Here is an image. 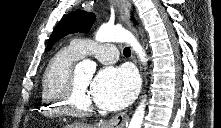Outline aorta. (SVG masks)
Masks as SVG:
<instances>
[{
    "label": "aorta",
    "instance_id": "obj_1",
    "mask_svg": "<svg viewBox=\"0 0 221 128\" xmlns=\"http://www.w3.org/2000/svg\"><path fill=\"white\" fill-rule=\"evenodd\" d=\"M95 40L98 42H121L129 44L132 49L138 54L143 64H146V54L129 31L122 27L102 25L95 35ZM96 70V64L90 59H84L76 65L75 73H85L92 75ZM146 108V96H143L140 104L137 106L128 128H141Z\"/></svg>",
    "mask_w": 221,
    "mask_h": 128
}]
</instances>
